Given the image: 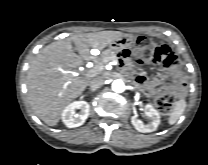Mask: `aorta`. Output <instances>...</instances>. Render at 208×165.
I'll list each match as a JSON object with an SVG mask.
<instances>
[{
	"mask_svg": "<svg viewBox=\"0 0 208 165\" xmlns=\"http://www.w3.org/2000/svg\"><path fill=\"white\" fill-rule=\"evenodd\" d=\"M112 90L121 93L125 90V84L121 79H116L112 82Z\"/></svg>",
	"mask_w": 208,
	"mask_h": 165,
	"instance_id": "aorta-1",
	"label": "aorta"
}]
</instances>
